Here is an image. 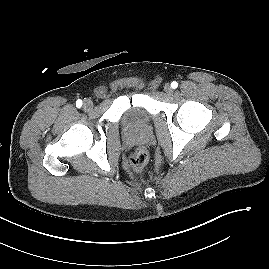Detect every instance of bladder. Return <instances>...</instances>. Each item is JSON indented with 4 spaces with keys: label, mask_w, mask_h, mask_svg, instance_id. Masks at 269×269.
Listing matches in <instances>:
<instances>
[{
    "label": "bladder",
    "mask_w": 269,
    "mask_h": 269,
    "mask_svg": "<svg viewBox=\"0 0 269 269\" xmlns=\"http://www.w3.org/2000/svg\"><path fill=\"white\" fill-rule=\"evenodd\" d=\"M123 124L134 130L145 129L150 123V114L142 106L130 107L123 115Z\"/></svg>",
    "instance_id": "obj_1"
}]
</instances>
